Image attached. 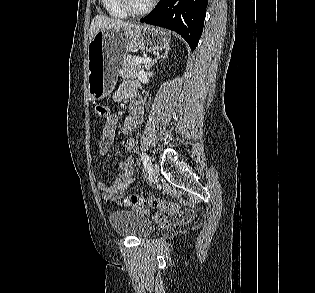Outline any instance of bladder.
<instances>
[{
    "label": "bladder",
    "mask_w": 315,
    "mask_h": 293,
    "mask_svg": "<svg viewBox=\"0 0 315 293\" xmlns=\"http://www.w3.org/2000/svg\"><path fill=\"white\" fill-rule=\"evenodd\" d=\"M109 222L116 234L122 237L145 238L154 230L152 222L134 210H116L109 215Z\"/></svg>",
    "instance_id": "bladder-1"
}]
</instances>
